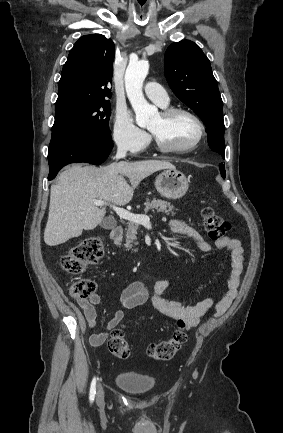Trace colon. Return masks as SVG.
<instances>
[{"mask_svg": "<svg viewBox=\"0 0 283 433\" xmlns=\"http://www.w3.org/2000/svg\"><path fill=\"white\" fill-rule=\"evenodd\" d=\"M201 218L205 231L213 240L223 238L230 228V224L211 207L202 210ZM103 253V238L100 236L88 237L72 247L62 257L61 265L70 274H81L90 265L96 263ZM95 289L96 285L92 280L80 279L71 285L70 294L77 300L87 299L94 293ZM185 327L183 321H178V326L169 339L152 343L147 347L148 356L154 360H169L175 356L187 341ZM108 349L118 359H127L131 355V348L122 328H117L112 332L108 340Z\"/></svg>", "mask_w": 283, "mask_h": 433, "instance_id": "colon-1", "label": "colon"}]
</instances>
